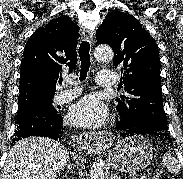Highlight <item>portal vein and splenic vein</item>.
Instances as JSON below:
<instances>
[{
  "label": "portal vein and splenic vein",
  "mask_w": 183,
  "mask_h": 179,
  "mask_svg": "<svg viewBox=\"0 0 183 179\" xmlns=\"http://www.w3.org/2000/svg\"><path fill=\"white\" fill-rule=\"evenodd\" d=\"M147 177L146 176H142L140 179H146Z\"/></svg>",
  "instance_id": "1"
}]
</instances>
